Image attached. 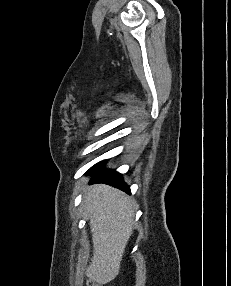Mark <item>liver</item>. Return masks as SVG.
Returning <instances> with one entry per match:
<instances>
[{
	"mask_svg": "<svg viewBox=\"0 0 231 286\" xmlns=\"http://www.w3.org/2000/svg\"><path fill=\"white\" fill-rule=\"evenodd\" d=\"M84 207L93 242V257L86 275L103 285L119 274L125 247L133 233L135 205L122 191L97 184L87 188Z\"/></svg>",
	"mask_w": 231,
	"mask_h": 286,
	"instance_id": "1",
	"label": "liver"
}]
</instances>
